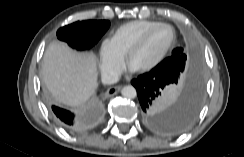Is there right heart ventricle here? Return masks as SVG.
<instances>
[{
	"label": "right heart ventricle",
	"instance_id": "e07e8e85",
	"mask_svg": "<svg viewBox=\"0 0 244 157\" xmlns=\"http://www.w3.org/2000/svg\"><path fill=\"white\" fill-rule=\"evenodd\" d=\"M158 23L160 22L154 20H135L124 23L116 28L109 41L113 48L121 56H124L128 49L147 29Z\"/></svg>",
	"mask_w": 244,
	"mask_h": 157
}]
</instances>
